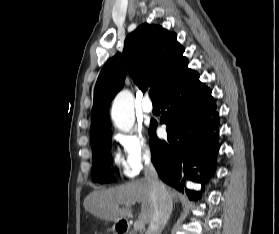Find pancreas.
<instances>
[{"instance_id": "obj_1", "label": "pancreas", "mask_w": 279, "mask_h": 234, "mask_svg": "<svg viewBox=\"0 0 279 234\" xmlns=\"http://www.w3.org/2000/svg\"><path fill=\"white\" fill-rule=\"evenodd\" d=\"M129 234H136L135 231L130 232Z\"/></svg>"}]
</instances>
